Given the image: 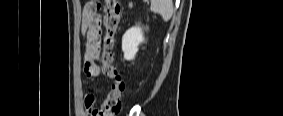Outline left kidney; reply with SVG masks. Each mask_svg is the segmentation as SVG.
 Wrapping results in <instances>:
<instances>
[{"mask_svg": "<svg viewBox=\"0 0 283 116\" xmlns=\"http://www.w3.org/2000/svg\"><path fill=\"white\" fill-rule=\"evenodd\" d=\"M144 42L143 31L140 27L128 29L122 37V51L126 60H133L138 52V46Z\"/></svg>", "mask_w": 283, "mask_h": 116, "instance_id": "left-kidney-1", "label": "left kidney"}]
</instances>
